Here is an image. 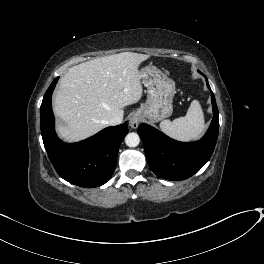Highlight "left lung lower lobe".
Instances as JSON below:
<instances>
[{
	"mask_svg": "<svg viewBox=\"0 0 264 264\" xmlns=\"http://www.w3.org/2000/svg\"><path fill=\"white\" fill-rule=\"evenodd\" d=\"M206 83L211 90L207 78ZM211 100L213 119L200 141L178 142L146 124L138 128L148 165L156 175L172 181L184 180L198 172L210 159L219 131L218 108L212 90Z\"/></svg>",
	"mask_w": 264,
	"mask_h": 264,
	"instance_id": "left-lung-lower-lobe-1",
	"label": "left lung lower lobe"
}]
</instances>
